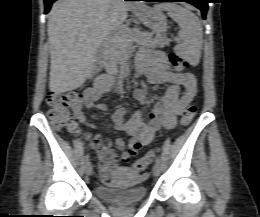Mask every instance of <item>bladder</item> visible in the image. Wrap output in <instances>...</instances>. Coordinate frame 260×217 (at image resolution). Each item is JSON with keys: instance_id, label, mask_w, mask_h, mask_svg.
<instances>
[{"instance_id": "bladder-1", "label": "bladder", "mask_w": 260, "mask_h": 217, "mask_svg": "<svg viewBox=\"0 0 260 217\" xmlns=\"http://www.w3.org/2000/svg\"><path fill=\"white\" fill-rule=\"evenodd\" d=\"M141 176L130 167H119L106 185H97L96 195L105 202L126 206L142 202L147 188L140 182Z\"/></svg>"}]
</instances>
